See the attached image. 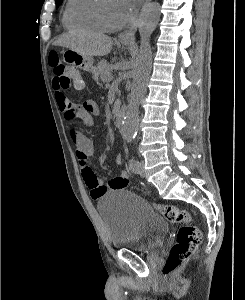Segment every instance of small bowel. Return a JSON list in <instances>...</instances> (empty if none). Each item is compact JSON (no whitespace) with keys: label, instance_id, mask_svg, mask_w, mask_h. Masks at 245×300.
<instances>
[{"label":"small bowel","instance_id":"c3829d8e","mask_svg":"<svg viewBox=\"0 0 245 300\" xmlns=\"http://www.w3.org/2000/svg\"><path fill=\"white\" fill-rule=\"evenodd\" d=\"M54 96L58 108L64 113V118L71 121L77 118L82 126L89 127L93 124L94 117L99 115V109L95 102L86 101L81 105H75L70 102L59 85L58 80L53 78ZM70 141L75 146V155L81 168L83 180L90 190L93 199H99L108 191L122 190L129 185V176L127 172L120 171L117 176L110 178L106 182L100 180L92 170L89 162L94 157V145L91 139L84 135L76 126H70L68 129ZM123 161L121 154L115 157L116 164L120 165Z\"/></svg>","mask_w":245,"mask_h":300}]
</instances>
